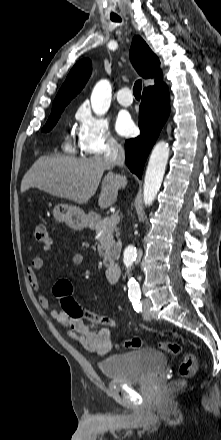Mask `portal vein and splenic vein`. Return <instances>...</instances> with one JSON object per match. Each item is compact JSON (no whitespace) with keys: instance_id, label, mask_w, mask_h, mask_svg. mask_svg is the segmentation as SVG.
Segmentation results:
<instances>
[{"instance_id":"1","label":"portal vein and splenic vein","mask_w":221,"mask_h":440,"mask_svg":"<svg viewBox=\"0 0 221 440\" xmlns=\"http://www.w3.org/2000/svg\"><path fill=\"white\" fill-rule=\"evenodd\" d=\"M119 220H120V217H119L118 213H113L110 217V222L113 225H116L117 223H119Z\"/></svg>"}]
</instances>
